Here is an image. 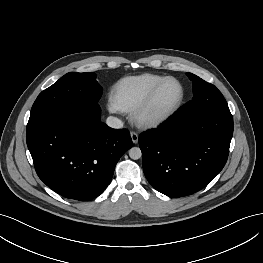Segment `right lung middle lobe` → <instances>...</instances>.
<instances>
[{"instance_id":"dd1d6c3e","label":"right lung middle lobe","mask_w":263,"mask_h":263,"mask_svg":"<svg viewBox=\"0 0 263 263\" xmlns=\"http://www.w3.org/2000/svg\"><path fill=\"white\" fill-rule=\"evenodd\" d=\"M95 78L93 72H70L42 91L32 106L27 131L42 125L61 111L75 114L86 103H97L102 88Z\"/></svg>"}]
</instances>
